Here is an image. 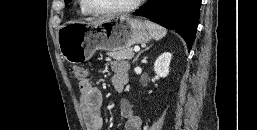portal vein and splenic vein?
I'll list each match as a JSON object with an SVG mask.
<instances>
[{
    "mask_svg": "<svg viewBox=\"0 0 257 130\" xmlns=\"http://www.w3.org/2000/svg\"><path fill=\"white\" fill-rule=\"evenodd\" d=\"M139 50H140L139 47H135V48H134V51H135V52H138Z\"/></svg>",
    "mask_w": 257,
    "mask_h": 130,
    "instance_id": "18ae733b",
    "label": "portal vein and splenic vein"
}]
</instances>
